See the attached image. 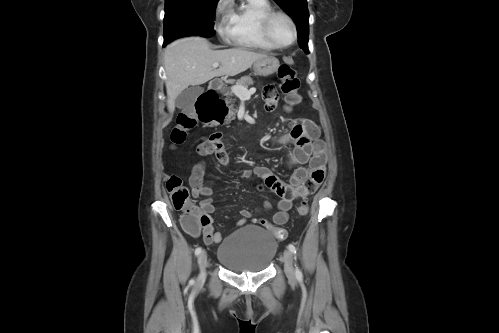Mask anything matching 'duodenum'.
Segmentation results:
<instances>
[{
	"mask_svg": "<svg viewBox=\"0 0 499 333\" xmlns=\"http://www.w3.org/2000/svg\"><path fill=\"white\" fill-rule=\"evenodd\" d=\"M218 87H219L218 81L212 82L211 85L209 86L208 91L199 99L197 108H198V113L201 116H206L209 119H212L214 117L215 111L212 103L207 99V94L215 93Z\"/></svg>",
	"mask_w": 499,
	"mask_h": 333,
	"instance_id": "410a0bca",
	"label": "duodenum"
}]
</instances>
